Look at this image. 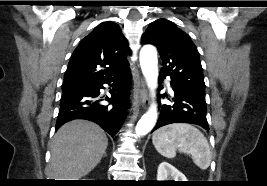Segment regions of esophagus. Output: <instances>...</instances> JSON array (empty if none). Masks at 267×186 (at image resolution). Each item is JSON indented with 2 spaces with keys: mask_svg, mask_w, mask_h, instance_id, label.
<instances>
[{
  "mask_svg": "<svg viewBox=\"0 0 267 186\" xmlns=\"http://www.w3.org/2000/svg\"><path fill=\"white\" fill-rule=\"evenodd\" d=\"M136 96L138 98V101L140 105L143 107H147L149 104V97H148V91L146 88V85L144 81H141L137 91H136Z\"/></svg>",
  "mask_w": 267,
  "mask_h": 186,
  "instance_id": "1",
  "label": "esophagus"
}]
</instances>
